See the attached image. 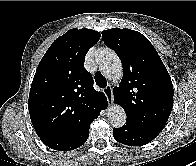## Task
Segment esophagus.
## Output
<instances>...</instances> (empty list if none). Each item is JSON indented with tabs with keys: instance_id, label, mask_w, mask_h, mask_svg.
I'll return each mask as SVG.
<instances>
[{
	"instance_id": "obj_1",
	"label": "esophagus",
	"mask_w": 196,
	"mask_h": 166,
	"mask_svg": "<svg viewBox=\"0 0 196 166\" xmlns=\"http://www.w3.org/2000/svg\"><path fill=\"white\" fill-rule=\"evenodd\" d=\"M104 93H105L106 97L108 98L109 102H112L113 94H112V88L110 85H107L104 88Z\"/></svg>"
}]
</instances>
